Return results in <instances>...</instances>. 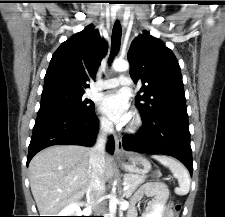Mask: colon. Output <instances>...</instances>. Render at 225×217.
<instances>
[{
    "label": "colon",
    "instance_id": "colon-1",
    "mask_svg": "<svg viewBox=\"0 0 225 217\" xmlns=\"http://www.w3.org/2000/svg\"><path fill=\"white\" fill-rule=\"evenodd\" d=\"M181 210V205L179 203H176L174 205V213H175V217H176V214H178Z\"/></svg>",
    "mask_w": 225,
    "mask_h": 217
}]
</instances>
